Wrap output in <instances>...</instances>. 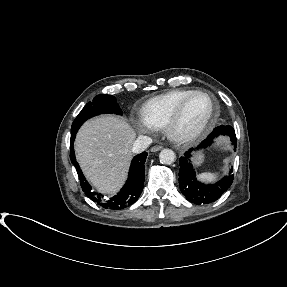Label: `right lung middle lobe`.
<instances>
[{"instance_id": "obj_1", "label": "right lung middle lobe", "mask_w": 287, "mask_h": 287, "mask_svg": "<svg viewBox=\"0 0 287 287\" xmlns=\"http://www.w3.org/2000/svg\"><path fill=\"white\" fill-rule=\"evenodd\" d=\"M102 113H114L117 115H122V110L117 104L115 97L101 94L97 95L93 99V102H88L75 118L71 127V135H75L80 126L87 119Z\"/></svg>"}]
</instances>
